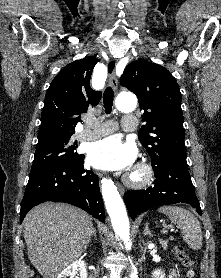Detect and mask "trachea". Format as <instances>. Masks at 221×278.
<instances>
[{
    "instance_id": "3493384b",
    "label": "trachea",
    "mask_w": 221,
    "mask_h": 278,
    "mask_svg": "<svg viewBox=\"0 0 221 278\" xmlns=\"http://www.w3.org/2000/svg\"><path fill=\"white\" fill-rule=\"evenodd\" d=\"M113 100H114V92L111 87H107L103 94V104L106 114H110L112 111L113 106Z\"/></svg>"
}]
</instances>
